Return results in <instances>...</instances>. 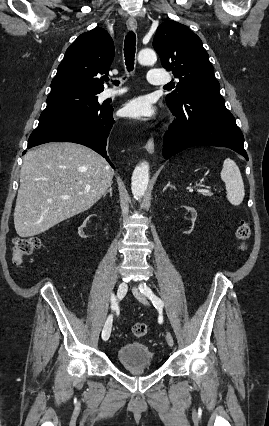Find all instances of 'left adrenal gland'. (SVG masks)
<instances>
[{
    "mask_svg": "<svg viewBox=\"0 0 269 426\" xmlns=\"http://www.w3.org/2000/svg\"><path fill=\"white\" fill-rule=\"evenodd\" d=\"M168 187H171V188H175V186H173V185H171L170 184V181L167 183V185L163 188V192L168 188Z\"/></svg>",
    "mask_w": 269,
    "mask_h": 426,
    "instance_id": "1",
    "label": "left adrenal gland"
}]
</instances>
